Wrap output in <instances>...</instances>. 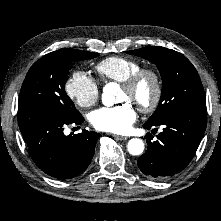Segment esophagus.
I'll return each instance as SVG.
<instances>
[{"instance_id":"34e87169","label":"esophagus","mask_w":221,"mask_h":221,"mask_svg":"<svg viewBox=\"0 0 221 221\" xmlns=\"http://www.w3.org/2000/svg\"><path fill=\"white\" fill-rule=\"evenodd\" d=\"M114 137L117 139V140H121V141H125L128 139V137L126 136H120V135H114Z\"/></svg>"}]
</instances>
